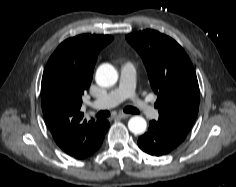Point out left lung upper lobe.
Masks as SVG:
<instances>
[{
	"mask_svg": "<svg viewBox=\"0 0 236 187\" xmlns=\"http://www.w3.org/2000/svg\"><path fill=\"white\" fill-rule=\"evenodd\" d=\"M126 39L142 57L158 94V122L187 136L199 109V86L189 57L174 39L154 30L135 32Z\"/></svg>",
	"mask_w": 236,
	"mask_h": 187,
	"instance_id": "1",
	"label": "left lung upper lobe"
}]
</instances>
